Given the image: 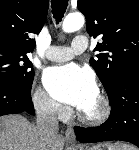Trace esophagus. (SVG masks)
<instances>
[{"instance_id": "obj_1", "label": "esophagus", "mask_w": 139, "mask_h": 150, "mask_svg": "<svg viewBox=\"0 0 139 150\" xmlns=\"http://www.w3.org/2000/svg\"><path fill=\"white\" fill-rule=\"evenodd\" d=\"M65 138L69 143L74 144L76 142V136L72 126L67 127L65 132Z\"/></svg>"}]
</instances>
